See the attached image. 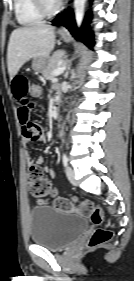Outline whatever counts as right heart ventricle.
I'll use <instances>...</instances> for the list:
<instances>
[{"label": "right heart ventricle", "mask_w": 134, "mask_h": 281, "mask_svg": "<svg viewBox=\"0 0 134 281\" xmlns=\"http://www.w3.org/2000/svg\"><path fill=\"white\" fill-rule=\"evenodd\" d=\"M13 7L16 20L23 26L36 25L44 18L33 0H13Z\"/></svg>", "instance_id": "e07e8e85"}]
</instances>
